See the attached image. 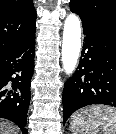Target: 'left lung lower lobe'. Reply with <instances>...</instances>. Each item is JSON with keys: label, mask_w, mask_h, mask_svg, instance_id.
<instances>
[{"label": "left lung lower lobe", "mask_w": 116, "mask_h": 134, "mask_svg": "<svg viewBox=\"0 0 116 134\" xmlns=\"http://www.w3.org/2000/svg\"><path fill=\"white\" fill-rule=\"evenodd\" d=\"M82 24L85 37L80 62L63 91V125L82 107H116V26L87 21Z\"/></svg>", "instance_id": "obj_1"}]
</instances>
